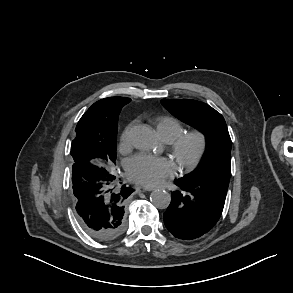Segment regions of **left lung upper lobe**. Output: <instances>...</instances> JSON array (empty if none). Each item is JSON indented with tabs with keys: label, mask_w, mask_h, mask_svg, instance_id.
Segmentation results:
<instances>
[{
	"label": "left lung upper lobe",
	"mask_w": 293,
	"mask_h": 293,
	"mask_svg": "<svg viewBox=\"0 0 293 293\" xmlns=\"http://www.w3.org/2000/svg\"><path fill=\"white\" fill-rule=\"evenodd\" d=\"M162 105L175 117L197 128L208 141V153L199 169L186 175L195 182L229 185L231 138L223 116L209 105L191 99H162Z\"/></svg>",
	"instance_id": "obj_1"
}]
</instances>
